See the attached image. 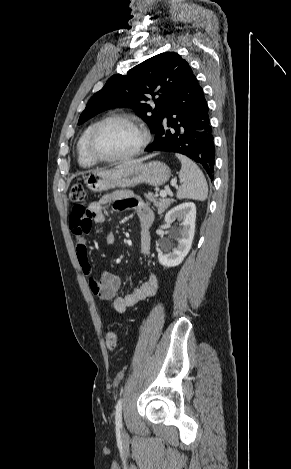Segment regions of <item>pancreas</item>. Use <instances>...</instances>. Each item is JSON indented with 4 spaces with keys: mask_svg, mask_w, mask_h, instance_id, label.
I'll return each instance as SVG.
<instances>
[{
    "mask_svg": "<svg viewBox=\"0 0 291 469\" xmlns=\"http://www.w3.org/2000/svg\"><path fill=\"white\" fill-rule=\"evenodd\" d=\"M144 196L150 201L154 203V206L158 208V213L162 214L172 203L173 199L170 198H161L157 200L152 193L144 194Z\"/></svg>",
    "mask_w": 291,
    "mask_h": 469,
    "instance_id": "pancreas-1",
    "label": "pancreas"
}]
</instances>
